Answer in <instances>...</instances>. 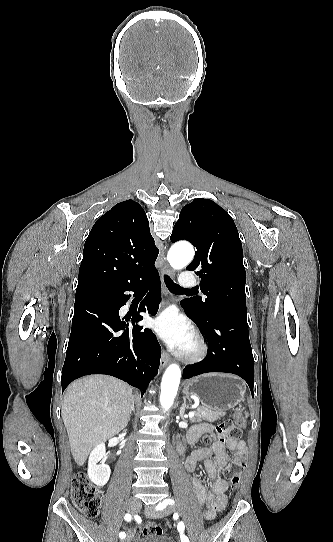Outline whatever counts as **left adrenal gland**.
<instances>
[{
    "label": "left adrenal gland",
    "mask_w": 333,
    "mask_h": 542,
    "mask_svg": "<svg viewBox=\"0 0 333 542\" xmlns=\"http://www.w3.org/2000/svg\"><path fill=\"white\" fill-rule=\"evenodd\" d=\"M186 408H188V406L186 404V396H183V404H182V406L180 408V414H179L181 420H185L184 414H185Z\"/></svg>",
    "instance_id": "obj_1"
}]
</instances>
